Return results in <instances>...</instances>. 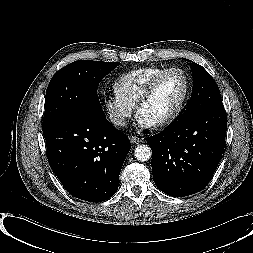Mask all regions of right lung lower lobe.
I'll list each match as a JSON object with an SVG mask.
<instances>
[{
  "mask_svg": "<svg viewBox=\"0 0 253 253\" xmlns=\"http://www.w3.org/2000/svg\"><path fill=\"white\" fill-rule=\"evenodd\" d=\"M44 137L50 167L72 196L101 202L116 193L131 144L102 109L78 111Z\"/></svg>",
  "mask_w": 253,
  "mask_h": 253,
  "instance_id": "98d812e1",
  "label": "right lung lower lobe"
}]
</instances>
